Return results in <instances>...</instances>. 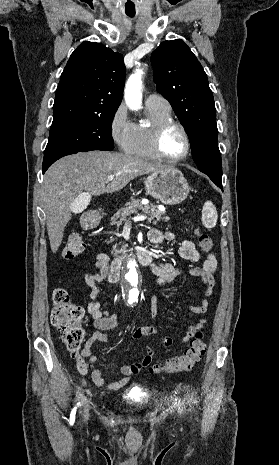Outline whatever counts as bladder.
I'll use <instances>...</instances> for the list:
<instances>
[{"instance_id": "obj_1", "label": "bladder", "mask_w": 279, "mask_h": 465, "mask_svg": "<svg viewBox=\"0 0 279 465\" xmlns=\"http://www.w3.org/2000/svg\"><path fill=\"white\" fill-rule=\"evenodd\" d=\"M126 399L131 403H141L145 399V395L141 388L134 387L127 391Z\"/></svg>"}]
</instances>
